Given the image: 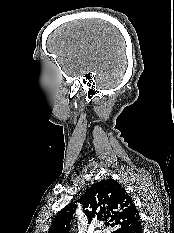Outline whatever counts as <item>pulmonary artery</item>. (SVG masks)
I'll return each instance as SVG.
<instances>
[{
    "label": "pulmonary artery",
    "instance_id": "pulmonary-artery-1",
    "mask_svg": "<svg viewBox=\"0 0 174 233\" xmlns=\"http://www.w3.org/2000/svg\"><path fill=\"white\" fill-rule=\"evenodd\" d=\"M95 233H102L101 231H97V232H95Z\"/></svg>",
    "mask_w": 174,
    "mask_h": 233
}]
</instances>
